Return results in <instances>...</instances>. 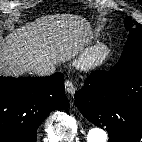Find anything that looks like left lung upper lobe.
Here are the masks:
<instances>
[{"instance_id":"obj_1","label":"left lung upper lobe","mask_w":142,"mask_h":142,"mask_svg":"<svg viewBox=\"0 0 142 142\" xmlns=\"http://www.w3.org/2000/svg\"><path fill=\"white\" fill-rule=\"evenodd\" d=\"M125 28L129 31V37L121 58L114 68L142 67V25L126 19Z\"/></svg>"}]
</instances>
